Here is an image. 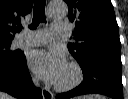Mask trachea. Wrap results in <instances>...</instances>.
Listing matches in <instances>:
<instances>
[{"instance_id": "obj_1", "label": "trachea", "mask_w": 128, "mask_h": 99, "mask_svg": "<svg viewBox=\"0 0 128 99\" xmlns=\"http://www.w3.org/2000/svg\"><path fill=\"white\" fill-rule=\"evenodd\" d=\"M45 5H46V0H35L34 3V13H33V20L32 24L29 26L30 29H35L40 22H45L46 21V16H45ZM22 30V26H19L18 31Z\"/></svg>"}]
</instances>
